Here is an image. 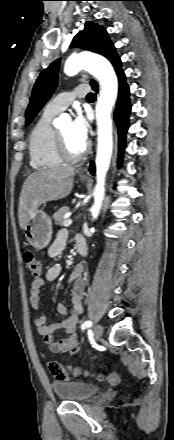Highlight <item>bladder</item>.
<instances>
[{
  "label": "bladder",
  "mask_w": 174,
  "mask_h": 440,
  "mask_svg": "<svg viewBox=\"0 0 174 440\" xmlns=\"http://www.w3.org/2000/svg\"><path fill=\"white\" fill-rule=\"evenodd\" d=\"M52 389L59 399L67 401H86L99 391V386L82 381L55 382Z\"/></svg>",
  "instance_id": "obj_1"
}]
</instances>
